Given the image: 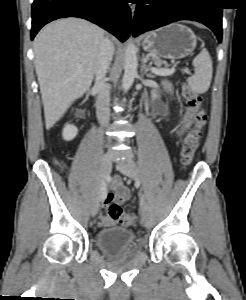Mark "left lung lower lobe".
Here are the masks:
<instances>
[{"label": "left lung lower lobe", "instance_id": "1", "mask_svg": "<svg viewBox=\"0 0 246 300\" xmlns=\"http://www.w3.org/2000/svg\"><path fill=\"white\" fill-rule=\"evenodd\" d=\"M132 34L137 36L179 20L209 27L222 40V7L219 0H138ZM149 4V5H145Z\"/></svg>", "mask_w": 246, "mask_h": 300}]
</instances>
